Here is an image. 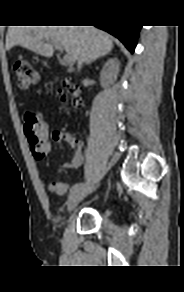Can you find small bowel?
Segmentation results:
<instances>
[{
	"label": "small bowel",
	"instance_id": "c3829d8e",
	"mask_svg": "<svg viewBox=\"0 0 184 292\" xmlns=\"http://www.w3.org/2000/svg\"><path fill=\"white\" fill-rule=\"evenodd\" d=\"M52 138L57 143L65 142L71 148V158L70 162L64 163L61 168L62 169H78L82 165L83 160V149L82 144L76 137L68 132L63 131H54L52 134ZM68 189V185L66 183H60V191L58 194H64Z\"/></svg>",
	"mask_w": 184,
	"mask_h": 292
}]
</instances>
